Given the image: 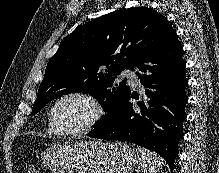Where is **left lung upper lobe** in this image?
Instances as JSON below:
<instances>
[{
	"label": "left lung upper lobe",
	"mask_w": 219,
	"mask_h": 173,
	"mask_svg": "<svg viewBox=\"0 0 219 173\" xmlns=\"http://www.w3.org/2000/svg\"><path fill=\"white\" fill-rule=\"evenodd\" d=\"M173 31L163 15L147 7L119 10L86 23L65 37L49 60L31 115L64 94L88 92L107 112L96 130L130 93L126 79L117 84L115 76L133 70L142 55Z\"/></svg>",
	"instance_id": "1"
}]
</instances>
